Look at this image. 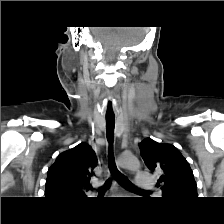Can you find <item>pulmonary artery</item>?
Instances as JSON below:
<instances>
[{"label":"pulmonary artery","instance_id":"pulmonary-artery-1","mask_svg":"<svg viewBox=\"0 0 224 224\" xmlns=\"http://www.w3.org/2000/svg\"><path fill=\"white\" fill-rule=\"evenodd\" d=\"M154 178L152 175L146 172H139L136 175L135 184L138 187L149 189L154 187Z\"/></svg>","mask_w":224,"mask_h":224}]
</instances>
